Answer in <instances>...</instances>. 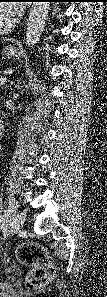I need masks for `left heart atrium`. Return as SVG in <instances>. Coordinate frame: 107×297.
<instances>
[{"label":"left heart atrium","mask_w":107,"mask_h":297,"mask_svg":"<svg viewBox=\"0 0 107 297\" xmlns=\"http://www.w3.org/2000/svg\"><path fill=\"white\" fill-rule=\"evenodd\" d=\"M22 12V7L20 5H15L11 10L12 19H16Z\"/></svg>","instance_id":"1"}]
</instances>
